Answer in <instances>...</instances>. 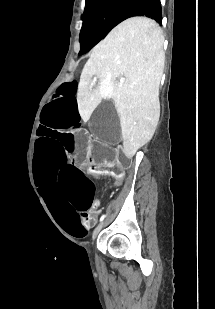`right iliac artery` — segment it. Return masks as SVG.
<instances>
[{
  "mask_svg": "<svg viewBox=\"0 0 215 309\" xmlns=\"http://www.w3.org/2000/svg\"><path fill=\"white\" fill-rule=\"evenodd\" d=\"M104 218H105V215H103V216L100 218V221H103Z\"/></svg>",
  "mask_w": 215,
  "mask_h": 309,
  "instance_id": "1",
  "label": "right iliac artery"
}]
</instances>
